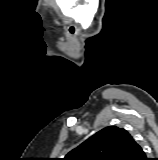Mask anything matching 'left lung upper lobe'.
Instances as JSON below:
<instances>
[{
    "instance_id": "1",
    "label": "left lung upper lobe",
    "mask_w": 158,
    "mask_h": 160,
    "mask_svg": "<svg viewBox=\"0 0 158 160\" xmlns=\"http://www.w3.org/2000/svg\"><path fill=\"white\" fill-rule=\"evenodd\" d=\"M135 145L125 129L109 126L70 151L63 160H129Z\"/></svg>"
}]
</instances>
